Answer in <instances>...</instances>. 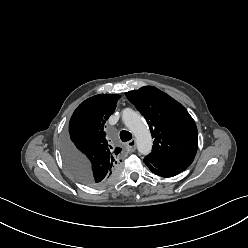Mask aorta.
Segmentation results:
<instances>
[{"instance_id": "obj_1", "label": "aorta", "mask_w": 248, "mask_h": 248, "mask_svg": "<svg viewBox=\"0 0 248 248\" xmlns=\"http://www.w3.org/2000/svg\"><path fill=\"white\" fill-rule=\"evenodd\" d=\"M122 119L126 127L135 135L138 151L147 155L152 149L151 133L141 115L132 109L123 111Z\"/></svg>"}]
</instances>
